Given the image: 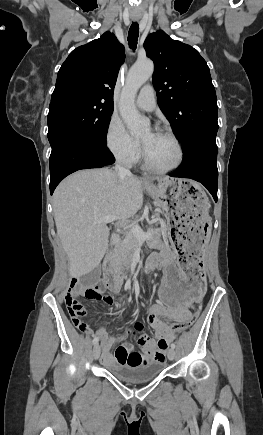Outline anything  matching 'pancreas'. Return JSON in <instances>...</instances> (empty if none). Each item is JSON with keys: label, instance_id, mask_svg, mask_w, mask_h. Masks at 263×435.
Returning a JSON list of instances; mask_svg holds the SVG:
<instances>
[{"label": "pancreas", "instance_id": "1", "mask_svg": "<svg viewBox=\"0 0 263 435\" xmlns=\"http://www.w3.org/2000/svg\"><path fill=\"white\" fill-rule=\"evenodd\" d=\"M152 233V236L147 241V245L150 248L158 249L160 248V230L158 229H149ZM138 238L133 234L129 233L124 239L123 243L119 246L115 253V257L113 259V267L119 272H123L128 269L129 263L131 260V255L134 247L138 244Z\"/></svg>", "mask_w": 263, "mask_h": 435}]
</instances>
